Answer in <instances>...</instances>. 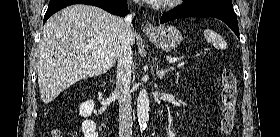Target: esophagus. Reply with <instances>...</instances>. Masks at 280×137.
<instances>
[{"label": "esophagus", "instance_id": "1", "mask_svg": "<svg viewBox=\"0 0 280 137\" xmlns=\"http://www.w3.org/2000/svg\"><path fill=\"white\" fill-rule=\"evenodd\" d=\"M155 31H156V28H155V26H154L152 23L147 22V23L145 24L144 32H145L146 34H151V33H154Z\"/></svg>", "mask_w": 280, "mask_h": 137}]
</instances>
